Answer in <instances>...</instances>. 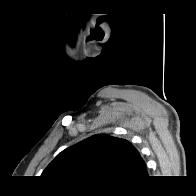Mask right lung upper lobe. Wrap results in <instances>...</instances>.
<instances>
[{"instance_id": "obj_1", "label": "right lung upper lobe", "mask_w": 196, "mask_h": 196, "mask_svg": "<svg viewBox=\"0 0 196 196\" xmlns=\"http://www.w3.org/2000/svg\"><path fill=\"white\" fill-rule=\"evenodd\" d=\"M41 176L57 183L112 187L145 178L147 169L129 141L98 134L63 150Z\"/></svg>"}]
</instances>
